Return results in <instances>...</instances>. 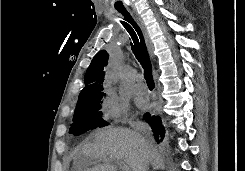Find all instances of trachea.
<instances>
[{"instance_id":"obj_1","label":"trachea","mask_w":245,"mask_h":171,"mask_svg":"<svg viewBox=\"0 0 245 171\" xmlns=\"http://www.w3.org/2000/svg\"><path fill=\"white\" fill-rule=\"evenodd\" d=\"M115 8L124 17L123 20L120 21V23L130 35L131 49L144 69V77L147 85L154 86V80L152 77V65L147 52L142 31L121 1L115 3Z\"/></svg>"}]
</instances>
